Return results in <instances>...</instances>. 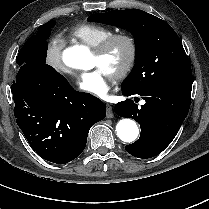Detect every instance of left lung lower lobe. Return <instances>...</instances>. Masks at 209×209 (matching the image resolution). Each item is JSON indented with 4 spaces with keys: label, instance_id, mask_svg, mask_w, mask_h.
Segmentation results:
<instances>
[{
    "label": "left lung lower lobe",
    "instance_id": "0a47b994",
    "mask_svg": "<svg viewBox=\"0 0 209 209\" xmlns=\"http://www.w3.org/2000/svg\"><path fill=\"white\" fill-rule=\"evenodd\" d=\"M192 81L159 83L139 91L122 88L125 96H141L145 104L138 108L131 99L115 105V113L138 121L139 140L125 146L126 151L147 159L160 154L172 142L190 108Z\"/></svg>",
    "mask_w": 209,
    "mask_h": 209
}]
</instances>
